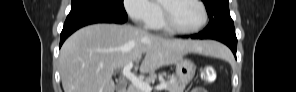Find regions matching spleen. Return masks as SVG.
<instances>
[{
    "label": "spleen",
    "mask_w": 296,
    "mask_h": 92,
    "mask_svg": "<svg viewBox=\"0 0 296 92\" xmlns=\"http://www.w3.org/2000/svg\"><path fill=\"white\" fill-rule=\"evenodd\" d=\"M214 56L219 57V58H224V59L230 58V54L226 52V49L224 46L218 47L217 52L214 54Z\"/></svg>",
    "instance_id": "obj_1"
}]
</instances>
